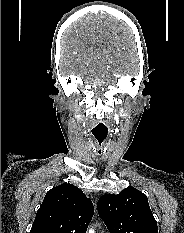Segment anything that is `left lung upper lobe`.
Masks as SVG:
<instances>
[{"label": "left lung upper lobe", "instance_id": "5c2ea615", "mask_svg": "<svg viewBox=\"0 0 184 233\" xmlns=\"http://www.w3.org/2000/svg\"><path fill=\"white\" fill-rule=\"evenodd\" d=\"M97 209L110 233H158L147 196L134 187L103 195Z\"/></svg>", "mask_w": 184, "mask_h": 233}]
</instances>
